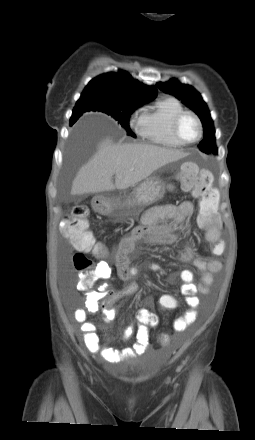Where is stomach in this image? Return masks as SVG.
Wrapping results in <instances>:
<instances>
[{"label": "stomach", "mask_w": 255, "mask_h": 440, "mask_svg": "<svg viewBox=\"0 0 255 440\" xmlns=\"http://www.w3.org/2000/svg\"><path fill=\"white\" fill-rule=\"evenodd\" d=\"M164 194L165 183L157 177H151L138 184L125 198L100 197L96 208L101 213L123 219L136 215L143 207L162 199Z\"/></svg>", "instance_id": "1"}]
</instances>
